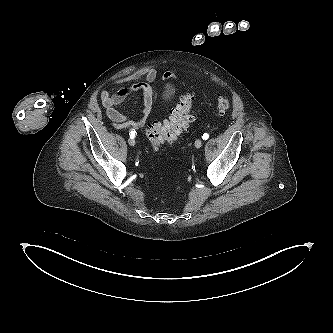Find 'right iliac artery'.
Here are the masks:
<instances>
[{"label":"right iliac artery","mask_w":333,"mask_h":333,"mask_svg":"<svg viewBox=\"0 0 333 333\" xmlns=\"http://www.w3.org/2000/svg\"><path fill=\"white\" fill-rule=\"evenodd\" d=\"M135 134H136V131L131 130L130 133H129L130 138H134Z\"/></svg>","instance_id":"obj_1"}]
</instances>
